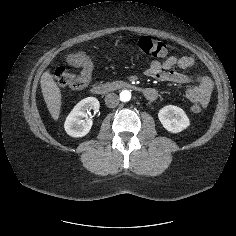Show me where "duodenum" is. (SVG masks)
Listing matches in <instances>:
<instances>
[{
  "label": "duodenum",
  "instance_id": "410a0bca",
  "mask_svg": "<svg viewBox=\"0 0 236 236\" xmlns=\"http://www.w3.org/2000/svg\"><path fill=\"white\" fill-rule=\"evenodd\" d=\"M118 89H138V91L142 92V94L147 98L155 95V92L153 90L148 88H137L134 84L127 81H108L97 83L91 87V92L95 95H106Z\"/></svg>",
  "mask_w": 236,
  "mask_h": 236
}]
</instances>
